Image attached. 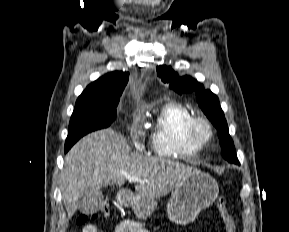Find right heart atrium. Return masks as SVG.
I'll use <instances>...</instances> for the list:
<instances>
[{
  "label": "right heart atrium",
  "instance_id": "right-heart-atrium-1",
  "mask_svg": "<svg viewBox=\"0 0 289 232\" xmlns=\"http://www.w3.org/2000/svg\"><path fill=\"white\" fill-rule=\"evenodd\" d=\"M131 135H132V139H133L135 147L137 149H142V144L140 143V141L138 139V131H137V128L135 126H133L131 128Z\"/></svg>",
  "mask_w": 289,
  "mask_h": 232
}]
</instances>
